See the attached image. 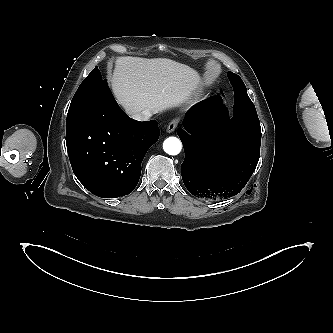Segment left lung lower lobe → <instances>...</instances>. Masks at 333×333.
I'll return each mask as SVG.
<instances>
[{"label":"left lung lower lobe","instance_id":"obj_1","mask_svg":"<svg viewBox=\"0 0 333 333\" xmlns=\"http://www.w3.org/2000/svg\"><path fill=\"white\" fill-rule=\"evenodd\" d=\"M241 120L231 122L222 98L206 99L186 114L178 135L185 150L181 164L188 191L205 199L237 195L247 184L260 157L261 129L253 107L236 101Z\"/></svg>","mask_w":333,"mask_h":333}]
</instances>
